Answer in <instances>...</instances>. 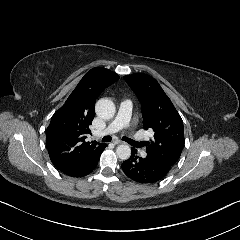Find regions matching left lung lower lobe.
<instances>
[{
  "instance_id": "1",
  "label": "left lung lower lobe",
  "mask_w": 240,
  "mask_h": 240,
  "mask_svg": "<svg viewBox=\"0 0 240 240\" xmlns=\"http://www.w3.org/2000/svg\"><path fill=\"white\" fill-rule=\"evenodd\" d=\"M124 173L133 181L141 184H151L163 179L171 167L160 163L152 156L145 158L137 156V150L132 148L131 156L122 163Z\"/></svg>"
}]
</instances>
